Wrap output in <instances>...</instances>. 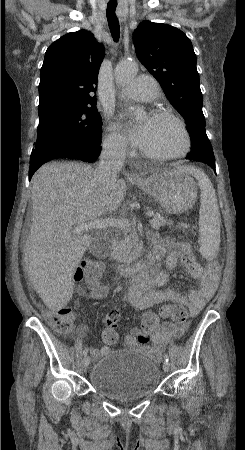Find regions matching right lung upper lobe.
I'll return each instance as SVG.
<instances>
[{
    "label": "right lung upper lobe",
    "mask_w": 245,
    "mask_h": 450,
    "mask_svg": "<svg viewBox=\"0 0 245 450\" xmlns=\"http://www.w3.org/2000/svg\"><path fill=\"white\" fill-rule=\"evenodd\" d=\"M103 57V45L85 30L55 41L47 49L41 68L38 109L56 103L96 105L93 93Z\"/></svg>",
    "instance_id": "cb5924a9"
}]
</instances>
